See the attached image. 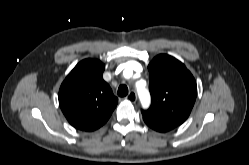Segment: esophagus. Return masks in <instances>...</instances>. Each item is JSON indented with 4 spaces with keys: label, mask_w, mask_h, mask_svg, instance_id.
Returning <instances> with one entry per match:
<instances>
[{
    "label": "esophagus",
    "mask_w": 249,
    "mask_h": 165,
    "mask_svg": "<svg viewBox=\"0 0 249 165\" xmlns=\"http://www.w3.org/2000/svg\"><path fill=\"white\" fill-rule=\"evenodd\" d=\"M126 99L128 101L132 102V103H135L136 100H137V94H136V92H134V91L129 92V94L127 95Z\"/></svg>",
    "instance_id": "esophagus-1"
}]
</instances>
